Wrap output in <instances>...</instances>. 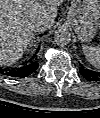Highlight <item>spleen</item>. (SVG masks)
Segmentation results:
<instances>
[{
    "instance_id": "1",
    "label": "spleen",
    "mask_w": 100,
    "mask_h": 118,
    "mask_svg": "<svg viewBox=\"0 0 100 118\" xmlns=\"http://www.w3.org/2000/svg\"><path fill=\"white\" fill-rule=\"evenodd\" d=\"M82 50L87 61L98 68L100 66V48L84 45Z\"/></svg>"
}]
</instances>
